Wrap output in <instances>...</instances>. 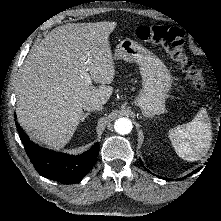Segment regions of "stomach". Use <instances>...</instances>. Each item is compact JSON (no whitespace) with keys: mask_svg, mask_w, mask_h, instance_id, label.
<instances>
[{"mask_svg":"<svg viewBox=\"0 0 221 221\" xmlns=\"http://www.w3.org/2000/svg\"><path fill=\"white\" fill-rule=\"evenodd\" d=\"M115 57L139 66L143 87L134 103L143 116L149 118L162 114L172 85L168 68L152 52L131 39H124L116 46Z\"/></svg>","mask_w":221,"mask_h":221,"instance_id":"0dacf381","label":"stomach"}]
</instances>
